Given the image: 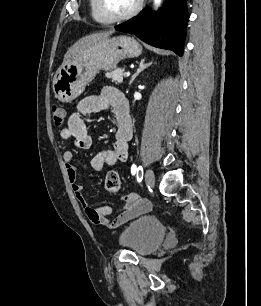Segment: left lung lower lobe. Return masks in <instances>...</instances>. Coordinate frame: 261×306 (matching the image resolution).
<instances>
[{
	"label": "left lung lower lobe",
	"mask_w": 261,
	"mask_h": 306,
	"mask_svg": "<svg viewBox=\"0 0 261 306\" xmlns=\"http://www.w3.org/2000/svg\"><path fill=\"white\" fill-rule=\"evenodd\" d=\"M186 1L166 0L161 11L153 14L145 9L132 19L115 26V29L135 34L152 46L169 49L182 56L189 20Z\"/></svg>",
	"instance_id": "1"
}]
</instances>
